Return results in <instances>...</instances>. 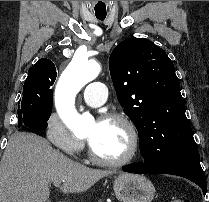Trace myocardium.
Returning a JSON list of instances; mask_svg holds the SVG:
<instances>
[{
    "mask_svg": "<svg viewBox=\"0 0 209 202\" xmlns=\"http://www.w3.org/2000/svg\"><path fill=\"white\" fill-rule=\"evenodd\" d=\"M99 121H117L123 124L129 133L131 146L129 151L124 157L120 159L112 160L98 155V153L95 151L94 147L92 146L91 142L87 139L88 154L90 159L99 165L111 167V168L123 167L131 163L134 159H136L140 149V139H139L138 131L134 123L130 120V118L122 113H108L101 116Z\"/></svg>",
    "mask_w": 209,
    "mask_h": 202,
    "instance_id": "f54148a6",
    "label": "myocardium"
}]
</instances>
